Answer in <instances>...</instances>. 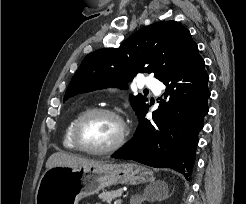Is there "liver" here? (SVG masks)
<instances>
[{
	"instance_id": "liver-1",
	"label": "liver",
	"mask_w": 246,
	"mask_h": 204,
	"mask_svg": "<svg viewBox=\"0 0 246 204\" xmlns=\"http://www.w3.org/2000/svg\"><path fill=\"white\" fill-rule=\"evenodd\" d=\"M103 161H95L78 157L73 154L56 152L53 153L46 162V169H50L55 166H76V165H87V164H101Z\"/></svg>"
}]
</instances>
